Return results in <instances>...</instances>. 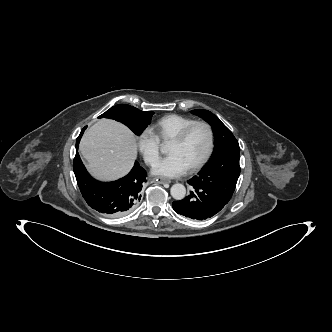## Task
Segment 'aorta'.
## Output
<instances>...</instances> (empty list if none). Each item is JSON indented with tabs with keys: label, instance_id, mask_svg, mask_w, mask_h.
<instances>
[{
	"label": "aorta",
	"instance_id": "obj_1",
	"mask_svg": "<svg viewBox=\"0 0 332 332\" xmlns=\"http://www.w3.org/2000/svg\"><path fill=\"white\" fill-rule=\"evenodd\" d=\"M170 192L175 200H182L186 195V188L183 184L176 183L171 187Z\"/></svg>",
	"mask_w": 332,
	"mask_h": 332
}]
</instances>
